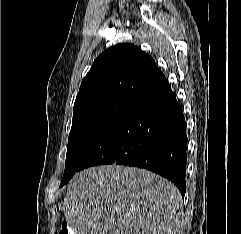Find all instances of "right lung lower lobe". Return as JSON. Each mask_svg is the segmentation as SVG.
Masks as SVG:
<instances>
[{
  "label": "right lung lower lobe",
  "mask_w": 241,
  "mask_h": 234,
  "mask_svg": "<svg viewBox=\"0 0 241 234\" xmlns=\"http://www.w3.org/2000/svg\"><path fill=\"white\" fill-rule=\"evenodd\" d=\"M186 151L185 118L166 81L96 144L80 170L113 163L145 168L172 181L184 197Z\"/></svg>",
  "instance_id": "98d812e1"
}]
</instances>
